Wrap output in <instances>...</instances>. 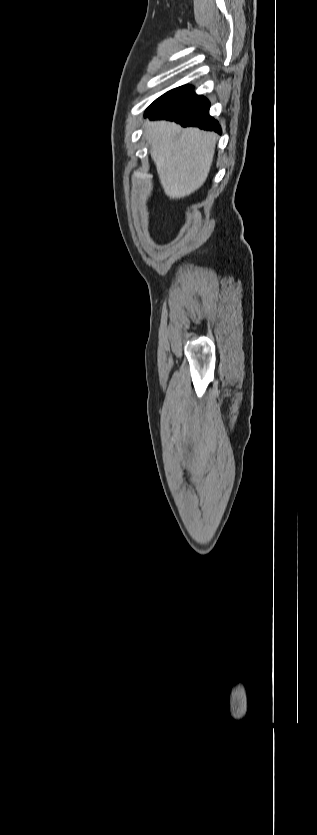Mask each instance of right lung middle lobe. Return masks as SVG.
I'll use <instances>...</instances> for the list:
<instances>
[{"label": "right lung middle lobe", "mask_w": 317, "mask_h": 835, "mask_svg": "<svg viewBox=\"0 0 317 835\" xmlns=\"http://www.w3.org/2000/svg\"><path fill=\"white\" fill-rule=\"evenodd\" d=\"M193 89H194V87H193V86L185 85V86H181V87L175 88V89H173V90H171V91H169V92L165 93L164 95H162L161 97H159L157 100H155V101H154V102H153V103H152V104H151V105L147 108L146 113H148V112H151V111H153V110L158 109L159 107H161V106H163V105H165V104L169 103L170 101H173V100H175V99H177V98H179V97H181V96H183V95H185V94L189 93V92H190V91H192Z\"/></svg>", "instance_id": "1"}]
</instances>
